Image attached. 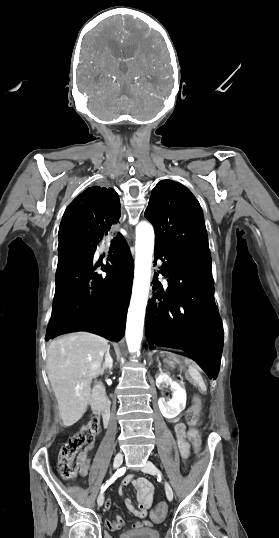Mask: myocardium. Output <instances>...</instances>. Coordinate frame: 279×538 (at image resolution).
Masks as SVG:
<instances>
[{
  "label": "myocardium",
  "mask_w": 279,
  "mask_h": 538,
  "mask_svg": "<svg viewBox=\"0 0 279 538\" xmlns=\"http://www.w3.org/2000/svg\"><path fill=\"white\" fill-rule=\"evenodd\" d=\"M106 235H107V232H101V234L98 236V239H97L99 243H101L105 239Z\"/></svg>",
  "instance_id": "obj_1"
}]
</instances>
